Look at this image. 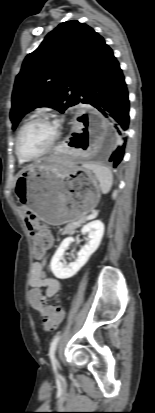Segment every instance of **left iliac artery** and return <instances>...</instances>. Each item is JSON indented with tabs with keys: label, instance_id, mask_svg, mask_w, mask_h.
I'll return each mask as SVG.
<instances>
[{
	"label": "left iliac artery",
	"instance_id": "1",
	"mask_svg": "<svg viewBox=\"0 0 155 413\" xmlns=\"http://www.w3.org/2000/svg\"><path fill=\"white\" fill-rule=\"evenodd\" d=\"M59 339H60V334H58V335L53 339V341H52V343H51V345H50L49 356H50V359H51L52 361H54L55 350H56V346H57V343H58Z\"/></svg>",
	"mask_w": 155,
	"mask_h": 413
}]
</instances>
